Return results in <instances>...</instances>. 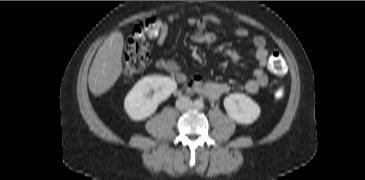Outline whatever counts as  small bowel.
Here are the masks:
<instances>
[{
  "label": "small bowel",
  "instance_id": "small-bowel-1",
  "mask_svg": "<svg viewBox=\"0 0 365 180\" xmlns=\"http://www.w3.org/2000/svg\"><path fill=\"white\" fill-rule=\"evenodd\" d=\"M182 19L183 16L177 13L168 17L167 23L163 25L162 30L156 36V42L158 45H163L167 39L168 23ZM185 21L187 24L196 27V31L193 33L192 39L199 43H211L216 40L217 34L208 28L209 24H213L215 26L222 25L221 19L216 15H207L198 18L186 17ZM233 35L237 38H247L249 36V31L246 28L241 27L235 29ZM252 43L255 48L257 67L253 72L254 78L247 80L242 85V90L248 94L258 93L267 84L268 80L265 72L268 57L266 40L263 36L257 35L253 37ZM226 54L233 66H236L241 60L240 54L234 49H228ZM155 65L160 69L174 73L176 80L184 85L187 92L202 94L210 100H217L231 90V86L228 83L207 82L201 78H195L192 80L188 79L186 74L182 71L181 66L173 60L158 59L156 60Z\"/></svg>",
  "mask_w": 365,
  "mask_h": 180
}]
</instances>
